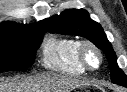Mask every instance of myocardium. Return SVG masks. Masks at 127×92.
<instances>
[{"label":"myocardium","mask_w":127,"mask_h":92,"mask_svg":"<svg viewBox=\"0 0 127 92\" xmlns=\"http://www.w3.org/2000/svg\"><path fill=\"white\" fill-rule=\"evenodd\" d=\"M89 51L95 53L98 56L99 62L97 66H91L89 64L88 59H87V53ZM77 57H78V61L81 64V66L85 70H89V71H94V70L99 69L102 66L103 61H104V56L100 48L96 46L93 42L88 41V40H84L79 43L78 50H77Z\"/></svg>","instance_id":"myocardium-1"}]
</instances>
